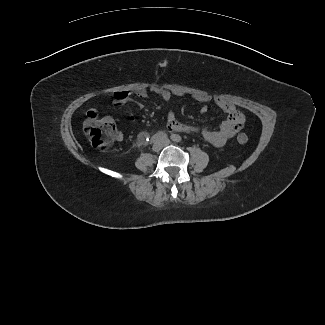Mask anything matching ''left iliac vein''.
I'll list each match as a JSON object with an SVG mask.
<instances>
[{
    "label": "left iliac vein",
    "mask_w": 325,
    "mask_h": 325,
    "mask_svg": "<svg viewBox=\"0 0 325 325\" xmlns=\"http://www.w3.org/2000/svg\"><path fill=\"white\" fill-rule=\"evenodd\" d=\"M169 144V141L168 140H165L164 141V145H168Z\"/></svg>",
    "instance_id": "4c4485c4"
}]
</instances>
